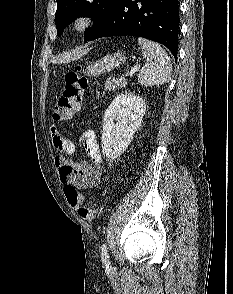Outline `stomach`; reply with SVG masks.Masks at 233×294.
Masks as SVG:
<instances>
[{
  "mask_svg": "<svg viewBox=\"0 0 233 294\" xmlns=\"http://www.w3.org/2000/svg\"><path fill=\"white\" fill-rule=\"evenodd\" d=\"M126 61V56L124 53H114L112 55H107L101 60L94 62L89 65L85 70L84 74L88 77L98 76L106 72L112 71L114 68L119 67Z\"/></svg>",
  "mask_w": 233,
  "mask_h": 294,
  "instance_id": "obj_1",
  "label": "stomach"
}]
</instances>
